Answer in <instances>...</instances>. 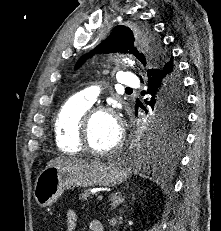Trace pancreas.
<instances>
[{"mask_svg": "<svg viewBox=\"0 0 221 231\" xmlns=\"http://www.w3.org/2000/svg\"><path fill=\"white\" fill-rule=\"evenodd\" d=\"M90 194L91 193L89 192V190H84V192H82L81 195H80V199L81 200H87V197H89Z\"/></svg>", "mask_w": 221, "mask_h": 231, "instance_id": "pancreas-1", "label": "pancreas"}]
</instances>
